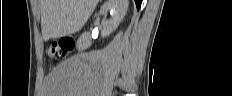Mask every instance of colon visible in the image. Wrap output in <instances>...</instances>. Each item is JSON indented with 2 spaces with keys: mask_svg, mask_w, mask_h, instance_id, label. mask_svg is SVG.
Segmentation results:
<instances>
[{
  "mask_svg": "<svg viewBox=\"0 0 232 96\" xmlns=\"http://www.w3.org/2000/svg\"><path fill=\"white\" fill-rule=\"evenodd\" d=\"M75 42L71 38H63L54 42L48 48V55L52 59L62 60L74 48Z\"/></svg>",
  "mask_w": 232,
  "mask_h": 96,
  "instance_id": "obj_1",
  "label": "colon"
}]
</instances>
